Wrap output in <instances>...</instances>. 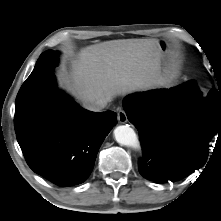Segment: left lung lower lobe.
I'll return each instance as SVG.
<instances>
[{"mask_svg":"<svg viewBox=\"0 0 221 221\" xmlns=\"http://www.w3.org/2000/svg\"><path fill=\"white\" fill-rule=\"evenodd\" d=\"M129 121L139 131L143 158L140 174L151 181L181 180L207 161L209 142L221 143V89L202 97L194 81L171 89L129 95Z\"/></svg>","mask_w":221,"mask_h":221,"instance_id":"0a47b994","label":"left lung lower lobe"}]
</instances>
